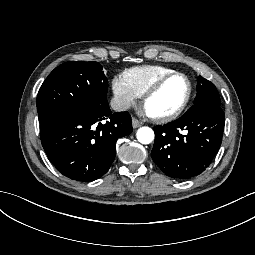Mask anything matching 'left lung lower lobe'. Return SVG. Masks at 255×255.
I'll use <instances>...</instances> for the list:
<instances>
[{
  "mask_svg": "<svg viewBox=\"0 0 255 255\" xmlns=\"http://www.w3.org/2000/svg\"><path fill=\"white\" fill-rule=\"evenodd\" d=\"M224 112L220 106L195 103L182 117L156 126L151 156L169 177L186 180L201 174L222 142Z\"/></svg>",
  "mask_w": 255,
  "mask_h": 255,
  "instance_id": "1",
  "label": "left lung lower lobe"
}]
</instances>
